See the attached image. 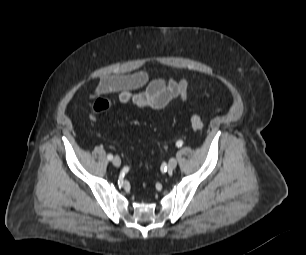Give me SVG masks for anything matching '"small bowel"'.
Segmentation results:
<instances>
[{"label":"small bowel","mask_w":306,"mask_h":255,"mask_svg":"<svg viewBox=\"0 0 306 255\" xmlns=\"http://www.w3.org/2000/svg\"><path fill=\"white\" fill-rule=\"evenodd\" d=\"M146 86L143 91L136 90ZM118 94V100L126 105L133 103L140 109H162L174 99L186 101L189 98L188 82L185 78L149 79L145 70L128 75H106L99 79L93 97Z\"/></svg>","instance_id":"obj_1"}]
</instances>
